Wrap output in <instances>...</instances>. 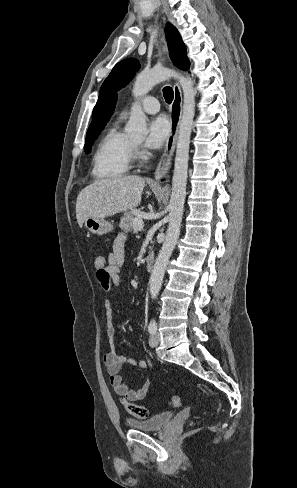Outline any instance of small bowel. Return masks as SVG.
Wrapping results in <instances>:
<instances>
[{"mask_svg":"<svg viewBox=\"0 0 297 488\" xmlns=\"http://www.w3.org/2000/svg\"><path fill=\"white\" fill-rule=\"evenodd\" d=\"M126 235L119 233L112 245V249L106 257V265L103 270H97V280L105 292H109L113 286L121 284L120 269L125 261ZM106 331L110 344V351L104 355V364L109 374L110 384L114 392L129 401H140L144 399L150 386V381L146 380L142 386L133 389L123 379L120 371L124 364L146 368L148 363L145 359L127 357L115 349L116 330L113 325V310L110 298L105 302Z\"/></svg>","mask_w":297,"mask_h":488,"instance_id":"c3829d8e","label":"small bowel"}]
</instances>
